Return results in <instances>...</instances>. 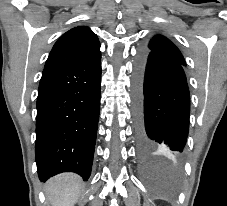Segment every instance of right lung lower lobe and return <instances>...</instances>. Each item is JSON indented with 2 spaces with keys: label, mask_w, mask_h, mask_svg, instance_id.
I'll list each match as a JSON object with an SVG mask.
<instances>
[{
  "label": "right lung lower lobe",
  "mask_w": 227,
  "mask_h": 206,
  "mask_svg": "<svg viewBox=\"0 0 227 206\" xmlns=\"http://www.w3.org/2000/svg\"><path fill=\"white\" fill-rule=\"evenodd\" d=\"M101 57L42 75L37 97L36 163L45 182L61 172L90 177L100 111Z\"/></svg>",
  "instance_id": "right-lung-lower-lobe-1"
}]
</instances>
